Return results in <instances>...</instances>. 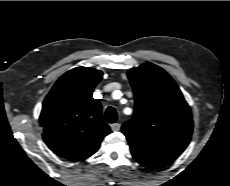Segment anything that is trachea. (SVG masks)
<instances>
[{
  "mask_svg": "<svg viewBox=\"0 0 230 186\" xmlns=\"http://www.w3.org/2000/svg\"><path fill=\"white\" fill-rule=\"evenodd\" d=\"M105 119L108 123H115L117 121V112L113 107H108L106 109Z\"/></svg>",
  "mask_w": 230,
  "mask_h": 186,
  "instance_id": "trachea-1",
  "label": "trachea"
}]
</instances>
